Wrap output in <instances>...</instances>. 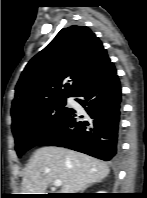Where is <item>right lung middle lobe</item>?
Listing matches in <instances>:
<instances>
[{"mask_svg": "<svg viewBox=\"0 0 147 198\" xmlns=\"http://www.w3.org/2000/svg\"><path fill=\"white\" fill-rule=\"evenodd\" d=\"M72 108L66 107V98L40 106L13 121L15 150L21 157L27 150L49 137L66 119Z\"/></svg>", "mask_w": 147, "mask_h": 198, "instance_id": "dd1d6c3e", "label": "right lung middle lobe"}]
</instances>
